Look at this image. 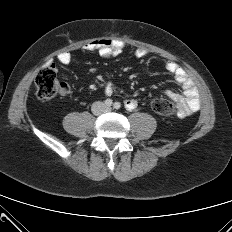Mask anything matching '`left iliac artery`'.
Returning a JSON list of instances; mask_svg holds the SVG:
<instances>
[{
  "label": "left iliac artery",
  "mask_w": 232,
  "mask_h": 232,
  "mask_svg": "<svg viewBox=\"0 0 232 232\" xmlns=\"http://www.w3.org/2000/svg\"><path fill=\"white\" fill-rule=\"evenodd\" d=\"M120 107H121V104H120L119 102H115V103H114V108H115V109L118 110V109H120Z\"/></svg>",
  "instance_id": "1"
}]
</instances>
